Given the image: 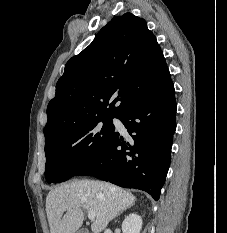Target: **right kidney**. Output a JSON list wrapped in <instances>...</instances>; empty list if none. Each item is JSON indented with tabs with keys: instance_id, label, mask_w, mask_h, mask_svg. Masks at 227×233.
I'll return each mask as SVG.
<instances>
[{
	"instance_id": "right-kidney-1",
	"label": "right kidney",
	"mask_w": 227,
	"mask_h": 233,
	"mask_svg": "<svg viewBox=\"0 0 227 233\" xmlns=\"http://www.w3.org/2000/svg\"><path fill=\"white\" fill-rule=\"evenodd\" d=\"M142 228V218L135 214H129L122 222L123 233H140Z\"/></svg>"
}]
</instances>
